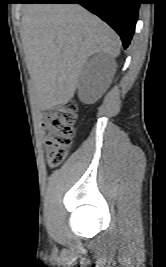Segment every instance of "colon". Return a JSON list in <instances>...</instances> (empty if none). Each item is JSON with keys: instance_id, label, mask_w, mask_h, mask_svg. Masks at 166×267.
Returning <instances> with one entry per match:
<instances>
[{"instance_id": "5ec220e1", "label": "colon", "mask_w": 166, "mask_h": 267, "mask_svg": "<svg viewBox=\"0 0 166 267\" xmlns=\"http://www.w3.org/2000/svg\"><path fill=\"white\" fill-rule=\"evenodd\" d=\"M77 120V105L73 101L46 110L44 125L47 160L51 167L60 165L67 156L74 136Z\"/></svg>"}]
</instances>
